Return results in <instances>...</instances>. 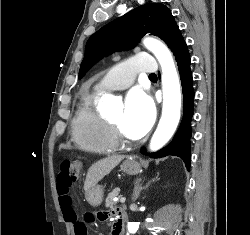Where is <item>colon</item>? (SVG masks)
Returning a JSON list of instances; mask_svg holds the SVG:
<instances>
[{
  "label": "colon",
  "mask_w": 250,
  "mask_h": 235,
  "mask_svg": "<svg viewBox=\"0 0 250 235\" xmlns=\"http://www.w3.org/2000/svg\"><path fill=\"white\" fill-rule=\"evenodd\" d=\"M82 175V162L79 159L64 160L60 164L58 186L62 190L70 191L71 186ZM98 220V215L90 214V221ZM75 235H87L85 222L74 223Z\"/></svg>",
  "instance_id": "1"
}]
</instances>
